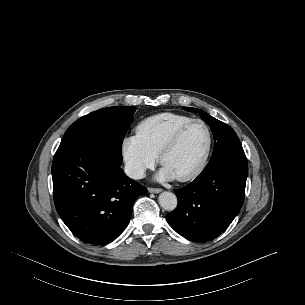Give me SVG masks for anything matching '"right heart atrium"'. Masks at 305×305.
<instances>
[{
  "label": "right heart atrium",
  "instance_id": "d8ad5b80",
  "mask_svg": "<svg viewBox=\"0 0 305 305\" xmlns=\"http://www.w3.org/2000/svg\"><path fill=\"white\" fill-rule=\"evenodd\" d=\"M121 153L127 172L133 178H142L154 167L157 157L146 147L138 135L127 136L121 144Z\"/></svg>",
  "mask_w": 305,
  "mask_h": 305
}]
</instances>
